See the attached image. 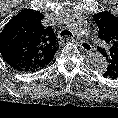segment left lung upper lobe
<instances>
[{
  "mask_svg": "<svg viewBox=\"0 0 118 118\" xmlns=\"http://www.w3.org/2000/svg\"><path fill=\"white\" fill-rule=\"evenodd\" d=\"M93 18L99 28L98 38L106 44L105 47H97L107 61V69L103 76L116 79L118 78V18L108 12L94 14Z\"/></svg>",
  "mask_w": 118,
  "mask_h": 118,
  "instance_id": "1",
  "label": "left lung upper lobe"
}]
</instances>
